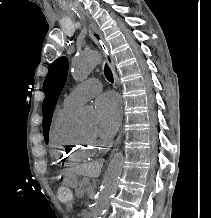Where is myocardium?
<instances>
[{
	"mask_svg": "<svg viewBox=\"0 0 211 218\" xmlns=\"http://www.w3.org/2000/svg\"><path fill=\"white\" fill-rule=\"evenodd\" d=\"M81 135H82L84 141H85L86 143H88V144L96 145V144L99 143L98 140H97V137H96L95 135H91V136H90V135H87V134L84 133V132H82Z\"/></svg>",
	"mask_w": 211,
	"mask_h": 218,
	"instance_id": "f54148a6",
	"label": "myocardium"
}]
</instances>
